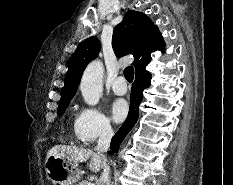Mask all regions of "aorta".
I'll return each mask as SVG.
<instances>
[{
  "instance_id": "762f6f07",
  "label": "aorta",
  "mask_w": 233,
  "mask_h": 185,
  "mask_svg": "<svg viewBox=\"0 0 233 185\" xmlns=\"http://www.w3.org/2000/svg\"><path fill=\"white\" fill-rule=\"evenodd\" d=\"M104 67L102 62L93 61L85 69L80 82V90L84 101L91 106L96 105L103 91Z\"/></svg>"
}]
</instances>
